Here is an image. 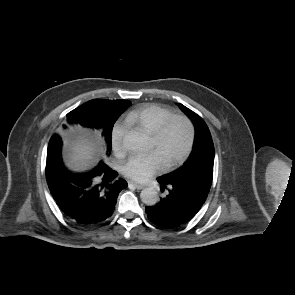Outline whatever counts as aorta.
I'll list each match as a JSON object with an SVG mask.
<instances>
[{
	"instance_id": "1",
	"label": "aorta",
	"mask_w": 295,
	"mask_h": 295,
	"mask_svg": "<svg viewBox=\"0 0 295 295\" xmlns=\"http://www.w3.org/2000/svg\"><path fill=\"white\" fill-rule=\"evenodd\" d=\"M123 146L132 151H139L146 147V139L137 132H129L123 139ZM140 198L147 206H153L159 202V195L155 188L148 187L141 191Z\"/></svg>"
}]
</instances>
